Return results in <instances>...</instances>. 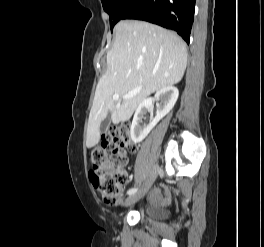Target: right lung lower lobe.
<instances>
[{"label":"right lung lower lobe","mask_w":264,"mask_h":247,"mask_svg":"<svg viewBox=\"0 0 264 247\" xmlns=\"http://www.w3.org/2000/svg\"><path fill=\"white\" fill-rule=\"evenodd\" d=\"M196 0H133L122 19L148 21L176 31L187 43Z\"/></svg>","instance_id":"obj_1"}]
</instances>
